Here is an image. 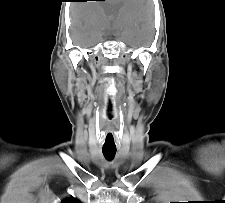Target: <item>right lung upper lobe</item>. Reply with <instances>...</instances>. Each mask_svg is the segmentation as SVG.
Returning a JSON list of instances; mask_svg holds the SVG:
<instances>
[{
    "label": "right lung upper lobe",
    "instance_id": "right-lung-upper-lobe-1",
    "mask_svg": "<svg viewBox=\"0 0 225 203\" xmlns=\"http://www.w3.org/2000/svg\"><path fill=\"white\" fill-rule=\"evenodd\" d=\"M62 203H80V201L76 200L74 198H71V199H67V200L63 201Z\"/></svg>",
    "mask_w": 225,
    "mask_h": 203
}]
</instances>
